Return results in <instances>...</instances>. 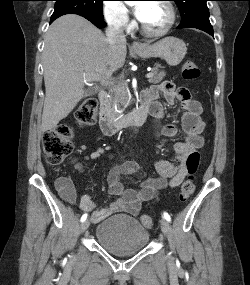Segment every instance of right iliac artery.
Here are the masks:
<instances>
[{
  "instance_id": "right-iliac-artery-1",
  "label": "right iliac artery",
  "mask_w": 250,
  "mask_h": 285,
  "mask_svg": "<svg viewBox=\"0 0 250 285\" xmlns=\"http://www.w3.org/2000/svg\"><path fill=\"white\" fill-rule=\"evenodd\" d=\"M86 218H87V214L85 213V214H83L82 215V217H81V221L83 222V221H85L86 220Z\"/></svg>"
}]
</instances>
